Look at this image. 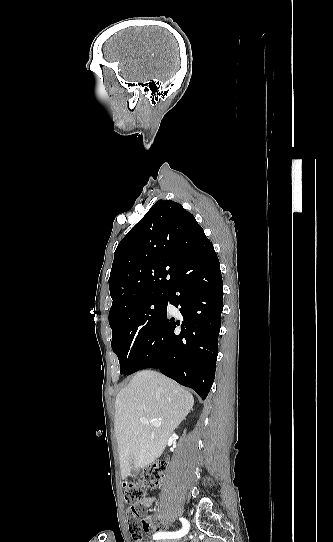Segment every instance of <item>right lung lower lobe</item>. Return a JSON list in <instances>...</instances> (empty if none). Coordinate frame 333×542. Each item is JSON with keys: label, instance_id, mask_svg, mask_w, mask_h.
Returning <instances> with one entry per match:
<instances>
[{"label": "right lung lower lobe", "instance_id": "98d812e1", "mask_svg": "<svg viewBox=\"0 0 333 542\" xmlns=\"http://www.w3.org/2000/svg\"><path fill=\"white\" fill-rule=\"evenodd\" d=\"M177 264L182 277L167 297L183 319L166 315L160 321L152 341L129 374L145 368L159 369L205 399L215 377L223 310L220 263L212 243L205 241L184 248L177 256Z\"/></svg>", "mask_w": 333, "mask_h": 542}]
</instances>
